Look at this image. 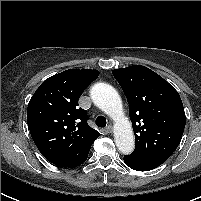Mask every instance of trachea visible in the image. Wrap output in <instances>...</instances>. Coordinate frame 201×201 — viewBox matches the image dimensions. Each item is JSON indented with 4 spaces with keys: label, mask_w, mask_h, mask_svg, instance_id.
<instances>
[{
    "label": "trachea",
    "mask_w": 201,
    "mask_h": 201,
    "mask_svg": "<svg viewBox=\"0 0 201 201\" xmlns=\"http://www.w3.org/2000/svg\"><path fill=\"white\" fill-rule=\"evenodd\" d=\"M106 124H107V121H106L105 117H103V116H98V117L96 118V125H97L98 127L103 128V127L106 126Z\"/></svg>",
    "instance_id": "obj_1"
}]
</instances>
